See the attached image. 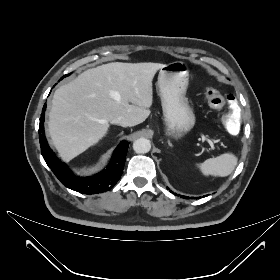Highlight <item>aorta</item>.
I'll list each match as a JSON object with an SVG mask.
<instances>
[{"instance_id":"762f6f07","label":"aorta","mask_w":280,"mask_h":280,"mask_svg":"<svg viewBox=\"0 0 280 280\" xmlns=\"http://www.w3.org/2000/svg\"><path fill=\"white\" fill-rule=\"evenodd\" d=\"M151 149V142L146 138H139L133 143V150L138 154H145Z\"/></svg>"}]
</instances>
